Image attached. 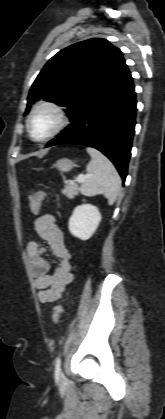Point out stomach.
Returning a JSON list of instances; mask_svg holds the SVG:
<instances>
[{
	"mask_svg": "<svg viewBox=\"0 0 165 419\" xmlns=\"http://www.w3.org/2000/svg\"><path fill=\"white\" fill-rule=\"evenodd\" d=\"M54 166L62 172H69L75 166V163L67 158H63L58 160Z\"/></svg>",
	"mask_w": 165,
	"mask_h": 419,
	"instance_id": "1",
	"label": "stomach"
}]
</instances>
